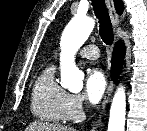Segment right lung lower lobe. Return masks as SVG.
I'll return each instance as SVG.
<instances>
[{
	"label": "right lung lower lobe",
	"mask_w": 147,
	"mask_h": 131,
	"mask_svg": "<svg viewBox=\"0 0 147 131\" xmlns=\"http://www.w3.org/2000/svg\"><path fill=\"white\" fill-rule=\"evenodd\" d=\"M125 52V46L122 42H118L114 48L112 57V77L114 80L118 78V74L122 69V62Z\"/></svg>",
	"instance_id": "obj_1"
}]
</instances>
